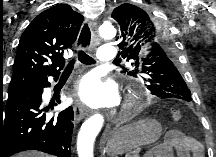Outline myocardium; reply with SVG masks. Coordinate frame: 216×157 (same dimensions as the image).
I'll return each instance as SVG.
<instances>
[{
    "label": "myocardium",
    "mask_w": 216,
    "mask_h": 157,
    "mask_svg": "<svg viewBox=\"0 0 216 157\" xmlns=\"http://www.w3.org/2000/svg\"><path fill=\"white\" fill-rule=\"evenodd\" d=\"M134 101L133 100H129L126 105H125V108H126V112H130L134 106Z\"/></svg>",
    "instance_id": "f54148a6"
}]
</instances>
